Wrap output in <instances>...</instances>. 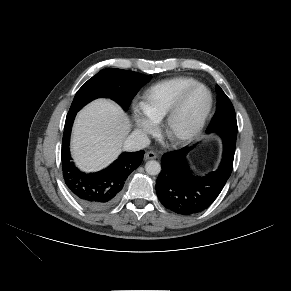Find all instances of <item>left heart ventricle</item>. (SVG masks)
<instances>
[{
    "label": "left heart ventricle",
    "instance_id": "b2bd125f",
    "mask_svg": "<svg viewBox=\"0 0 291 291\" xmlns=\"http://www.w3.org/2000/svg\"><path fill=\"white\" fill-rule=\"evenodd\" d=\"M208 104V94L204 89H197L186 100L173 123V131L183 134L191 130Z\"/></svg>",
    "mask_w": 291,
    "mask_h": 291
}]
</instances>
